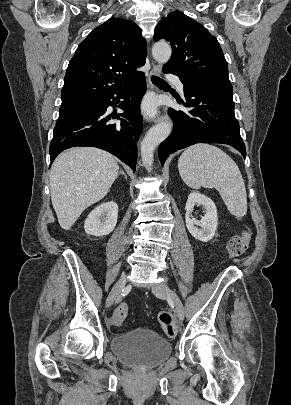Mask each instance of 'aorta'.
Listing matches in <instances>:
<instances>
[{"label": "aorta", "instance_id": "762f6f07", "mask_svg": "<svg viewBox=\"0 0 291 405\" xmlns=\"http://www.w3.org/2000/svg\"><path fill=\"white\" fill-rule=\"evenodd\" d=\"M172 49L165 41H159L152 48V55L159 63H166L171 57ZM171 132V123L162 122L153 126L141 142V158L143 165L151 171L154 150Z\"/></svg>", "mask_w": 291, "mask_h": 405}]
</instances>
